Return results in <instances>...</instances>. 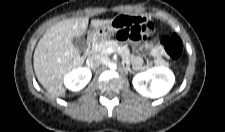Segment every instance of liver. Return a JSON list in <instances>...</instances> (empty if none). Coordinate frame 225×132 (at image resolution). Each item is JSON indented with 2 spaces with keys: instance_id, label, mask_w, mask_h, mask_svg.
I'll return each mask as SVG.
<instances>
[{
  "instance_id": "liver-1",
  "label": "liver",
  "mask_w": 225,
  "mask_h": 132,
  "mask_svg": "<svg viewBox=\"0 0 225 132\" xmlns=\"http://www.w3.org/2000/svg\"><path fill=\"white\" fill-rule=\"evenodd\" d=\"M112 21L94 19L90 26L96 29L109 25ZM88 22L87 17L60 21L45 32L35 48V74L40 84L54 97L65 95L64 77L84 63L85 58L74 47L72 40L85 34Z\"/></svg>"
}]
</instances>
